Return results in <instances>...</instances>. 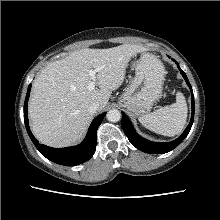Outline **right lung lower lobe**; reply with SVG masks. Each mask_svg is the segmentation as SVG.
I'll list each match as a JSON object with an SVG mask.
<instances>
[{"label":"right lung lower lobe","mask_w":220,"mask_h":220,"mask_svg":"<svg viewBox=\"0 0 220 220\" xmlns=\"http://www.w3.org/2000/svg\"><path fill=\"white\" fill-rule=\"evenodd\" d=\"M30 90H31V84L28 86L27 95L24 103V122L29 137L31 138L32 142L39 150V152L50 161L65 166H75L89 160L95 153L96 141H97L96 138L97 129L100 126L104 116L106 115V112L97 116L93 120L88 130V133L81 144L67 148H51L39 144V142L36 140V138L33 136V134L30 131V127L28 125L29 124L28 115H27V104L30 95Z\"/></svg>","instance_id":"right-lung-lower-lobe-1"}]
</instances>
